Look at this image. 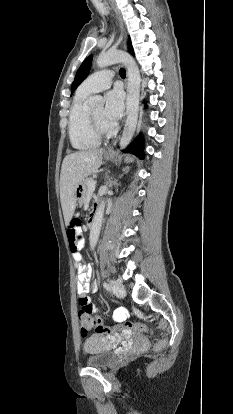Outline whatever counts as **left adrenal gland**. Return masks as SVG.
I'll return each mask as SVG.
<instances>
[{
  "mask_svg": "<svg viewBox=\"0 0 233 414\" xmlns=\"http://www.w3.org/2000/svg\"><path fill=\"white\" fill-rule=\"evenodd\" d=\"M128 170H129V167H125V168L123 169L124 173H126ZM121 176H122V175H121ZM121 176H120V177H121Z\"/></svg>",
  "mask_w": 233,
  "mask_h": 414,
  "instance_id": "obj_1",
  "label": "left adrenal gland"
}]
</instances>
